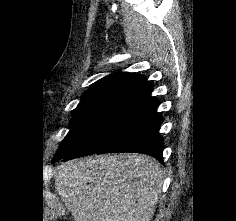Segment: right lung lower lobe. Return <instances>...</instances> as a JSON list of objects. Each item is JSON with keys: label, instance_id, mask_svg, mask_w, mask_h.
Returning a JSON list of instances; mask_svg holds the SVG:
<instances>
[{"label": "right lung lower lobe", "instance_id": "1", "mask_svg": "<svg viewBox=\"0 0 236 221\" xmlns=\"http://www.w3.org/2000/svg\"><path fill=\"white\" fill-rule=\"evenodd\" d=\"M151 92L152 87L135 95L61 159L65 162L90 154L133 152L162 162L164 143L159 128L163 117L157 113L159 101L150 96Z\"/></svg>", "mask_w": 236, "mask_h": 221}]
</instances>
